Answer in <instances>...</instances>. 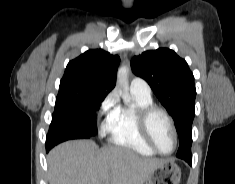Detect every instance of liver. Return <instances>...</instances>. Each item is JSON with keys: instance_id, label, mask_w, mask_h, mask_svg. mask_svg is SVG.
<instances>
[{"instance_id": "6515ba94", "label": "liver", "mask_w": 235, "mask_h": 184, "mask_svg": "<svg viewBox=\"0 0 235 184\" xmlns=\"http://www.w3.org/2000/svg\"><path fill=\"white\" fill-rule=\"evenodd\" d=\"M50 184H144L165 160L141 158L128 148H101L93 140H71L47 158Z\"/></svg>"}]
</instances>
